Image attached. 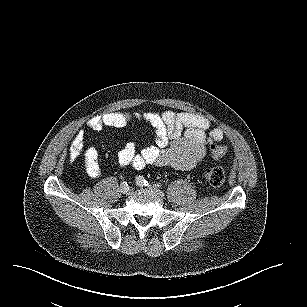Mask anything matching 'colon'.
<instances>
[{
    "label": "colon",
    "instance_id": "5ec220e1",
    "mask_svg": "<svg viewBox=\"0 0 307 307\" xmlns=\"http://www.w3.org/2000/svg\"><path fill=\"white\" fill-rule=\"evenodd\" d=\"M217 146L213 143L209 145V150L213 153ZM205 181L212 187H220L225 182V172L220 167L208 168L204 172Z\"/></svg>",
    "mask_w": 307,
    "mask_h": 307
}]
</instances>
